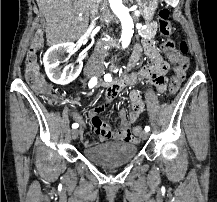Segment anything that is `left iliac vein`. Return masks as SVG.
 <instances>
[{
    "label": "left iliac vein",
    "mask_w": 217,
    "mask_h": 202,
    "mask_svg": "<svg viewBox=\"0 0 217 202\" xmlns=\"http://www.w3.org/2000/svg\"><path fill=\"white\" fill-rule=\"evenodd\" d=\"M148 137H149L148 132H145V131L140 132V138H141L142 140H145V139H147Z\"/></svg>",
    "instance_id": "left-iliac-vein-1"
}]
</instances>
